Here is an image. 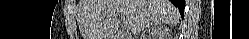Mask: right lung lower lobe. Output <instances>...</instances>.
Instances as JSON below:
<instances>
[{"mask_svg":"<svg viewBox=\"0 0 249 39\" xmlns=\"http://www.w3.org/2000/svg\"><path fill=\"white\" fill-rule=\"evenodd\" d=\"M171 2L178 8L181 16L183 17L184 9H185V0H171Z\"/></svg>","mask_w":249,"mask_h":39,"instance_id":"98d812e1","label":"right lung lower lobe"}]
</instances>
